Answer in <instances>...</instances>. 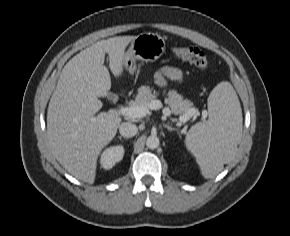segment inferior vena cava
<instances>
[{
  "instance_id": "602c4592",
  "label": "inferior vena cava",
  "mask_w": 290,
  "mask_h": 236,
  "mask_svg": "<svg viewBox=\"0 0 290 236\" xmlns=\"http://www.w3.org/2000/svg\"><path fill=\"white\" fill-rule=\"evenodd\" d=\"M119 132L123 137L130 138L137 134L138 128L130 122H123L119 126Z\"/></svg>"
}]
</instances>
